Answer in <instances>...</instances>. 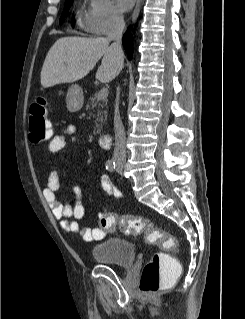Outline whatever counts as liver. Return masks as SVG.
<instances>
[{"label": "liver", "mask_w": 245, "mask_h": 319, "mask_svg": "<svg viewBox=\"0 0 245 319\" xmlns=\"http://www.w3.org/2000/svg\"><path fill=\"white\" fill-rule=\"evenodd\" d=\"M104 37H62L48 51L41 70L44 88L71 83L85 77L102 58L96 79L112 81L122 70L124 61L118 59Z\"/></svg>", "instance_id": "obj_1"}]
</instances>
